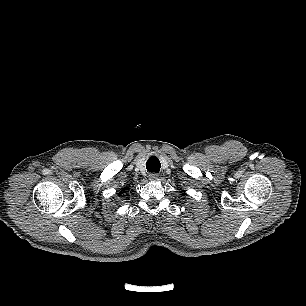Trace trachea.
Instances as JSON below:
<instances>
[{"mask_svg":"<svg viewBox=\"0 0 306 306\" xmlns=\"http://www.w3.org/2000/svg\"><path fill=\"white\" fill-rule=\"evenodd\" d=\"M160 167H161L160 161L155 156H151L146 162V168L149 172L158 173L160 171Z\"/></svg>","mask_w":306,"mask_h":306,"instance_id":"trachea-1","label":"trachea"}]
</instances>
